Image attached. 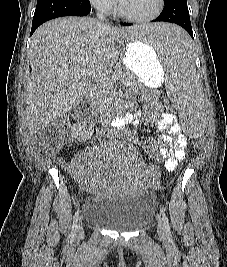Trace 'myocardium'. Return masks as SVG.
Returning <instances> with one entry per match:
<instances>
[{
	"label": "myocardium",
	"instance_id": "myocardium-1",
	"mask_svg": "<svg viewBox=\"0 0 227 267\" xmlns=\"http://www.w3.org/2000/svg\"><path fill=\"white\" fill-rule=\"evenodd\" d=\"M164 2H165V0H157V4H156L155 10L151 14H149L147 16H133V15H130V14L126 13L123 10V8H122L120 3L117 6V13L121 18H123V19H125V20H127L129 22L146 23V22H150V21L156 19L162 13V11L164 9Z\"/></svg>",
	"mask_w": 227,
	"mask_h": 267
}]
</instances>
